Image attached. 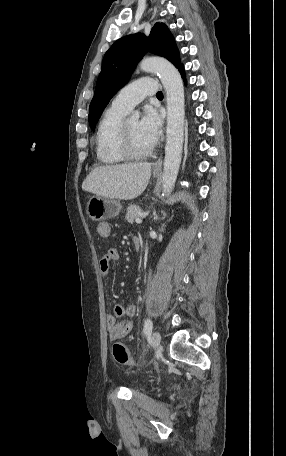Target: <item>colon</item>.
<instances>
[{
  "label": "colon",
  "mask_w": 286,
  "mask_h": 456,
  "mask_svg": "<svg viewBox=\"0 0 286 456\" xmlns=\"http://www.w3.org/2000/svg\"><path fill=\"white\" fill-rule=\"evenodd\" d=\"M113 356L117 363L121 365H132L133 360L132 357L126 348V346L122 343H115L113 345Z\"/></svg>",
  "instance_id": "obj_1"
}]
</instances>
